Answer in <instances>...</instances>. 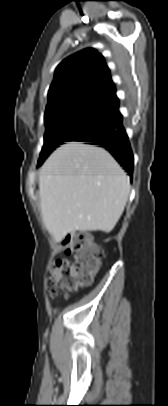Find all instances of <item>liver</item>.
<instances>
[{
	"instance_id": "6515ba94",
	"label": "liver",
	"mask_w": 168,
	"mask_h": 406,
	"mask_svg": "<svg viewBox=\"0 0 168 406\" xmlns=\"http://www.w3.org/2000/svg\"><path fill=\"white\" fill-rule=\"evenodd\" d=\"M130 192L126 173L103 148L69 142L39 171L43 222L57 242L74 231L113 230Z\"/></svg>"
}]
</instances>
